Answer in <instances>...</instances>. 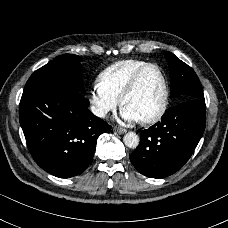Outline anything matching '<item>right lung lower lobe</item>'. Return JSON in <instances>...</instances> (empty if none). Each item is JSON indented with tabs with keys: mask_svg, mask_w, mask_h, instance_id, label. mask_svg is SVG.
Wrapping results in <instances>:
<instances>
[{
	"mask_svg": "<svg viewBox=\"0 0 228 228\" xmlns=\"http://www.w3.org/2000/svg\"><path fill=\"white\" fill-rule=\"evenodd\" d=\"M82 92L58 81L26 85L19 119L29 151L48 173L68 178L90 164L98 137L111 126L88 110Z\"/></svg>",
	"mask_w": 228,
	"mask_h": 228,
	"instance_id": "right-lung-lower-lobe-1",
	"label": "right lung lower lobe"
}]
</instances>
